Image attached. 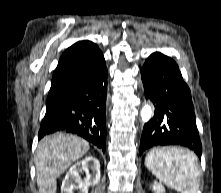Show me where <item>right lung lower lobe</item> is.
<instances>
[{
	"label": "right lung lower lobe",
	"instance_id": "98d812e1",
	"mask_svg": "<svg viewBox=\"0 0 221 193\" xmlns=\"http://www.w3.org/2000/svg\"><path fill=\"white\" fill-rule=\"evenodd\" d=\"M107 69L104 59L61 100L62 108L44 117L39 139L54 132H70L106 150Z\"/></svg>",
	"mask_w": 221,
	"mask_h": 193
}]
</instances>
